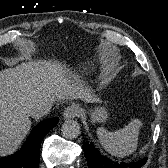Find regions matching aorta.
Here are the masks:
<instances>
[{"label":"aorta","mask_w":168,"mask_h":168,"mask_svg":"<svg viewBox=\"0 0 168 168\" xmlns=\"http://www.w3.org/2000/svg\"><path fill=\"white\" fill-rule=\"evenodd\" d=\"M62 133L66 138H76L80 134V125L77 121L69 119L62 124Z\"/></svg>","instance_id":"762f6f07"}]
</instances>
